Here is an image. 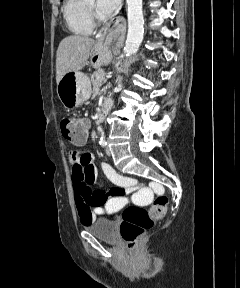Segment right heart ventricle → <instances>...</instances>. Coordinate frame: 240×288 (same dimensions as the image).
I'll use <instances>...</instances> for the list:
<instances>
[{"mask_svg":"<svg viewBox=\"0 0 240 288\" xmlns=\"http://www.w3.org/2000/svg\"><path fill=\"white\" fill-rule=\"evenodd\" d=\"M64 18L69 30L77 35H89L94 24L87 0H65Z\"/></svg>","mask_w":240,"mask_h":288,"instance_id":"e07e8e85","label":"right heart ventricle"}]
</instances>
